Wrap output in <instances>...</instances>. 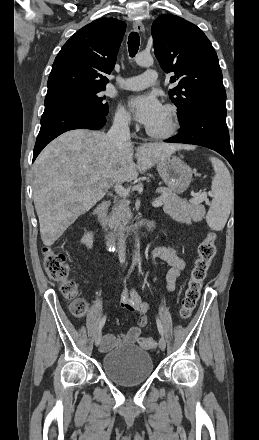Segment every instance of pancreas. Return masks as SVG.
Here are the masks:
<instances>
[{"mask_svg": "<svg viewBox=\"0 0 259 440\" xmlns=\"http://www.w3.org/2000/svg\"><path fill=\"white\" fill-rule=\"evenodd\" d=\"M156 192L161 194L157 199L163 201L164 212L176 219L199 221L205 215V208L199 202L183 200L166 187H159ZM129 219L131 211L128 202L123 201L108 218L109 227L116 229L119 225L127 224Z\"/></svg>", "mask_w": 259, "mask_h": 440, "instance_id": "pancreas-1", "label": "pancreas"}]
</instances>
